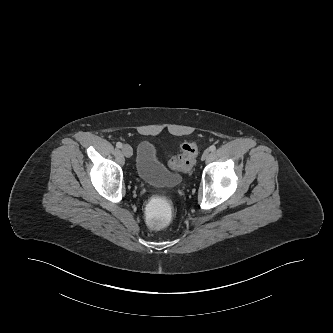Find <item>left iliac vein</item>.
<instances>
[{"mask_svg":"<svg viewBox=\"0 0 333 333\" xmlns=\"http://www.w3.org/2000/svg\"><path fill=\"white\" fill-rule=\"evenodd\" d=\"M209 156H210V151L209 150H205L204 153L202 154L201 159L202 160H206Z\"/></svg>","mask_w":333,"mask_h":333,"instance_id":"obj_1","label":"left iliac vein"}]
</instances>
